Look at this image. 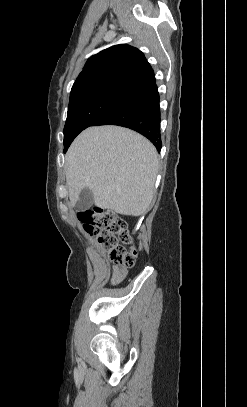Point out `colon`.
Returning a JSON list of instances; mask_svg holds the SVG:
<instances>
[{
	"label": "colon",
	"instance_id": "5ec220e1",
	"mask_svg": "<svg viewBox=\"0 0 247 407\" xmlns=\"http://www.w3.org/2000/svg\"><path fill=\"white\" fill-rule=\"evenodd\" d=\"M78 218L85 232L108 251L110 259L115 264L128 268L134 265L136 249L127 250L119 243L129 238L126 223L122 219L112 211L101 208L79 212Z\"/></svg>",
	"mask_w": 247,
	"mask_h": 407
}]
</instances>
